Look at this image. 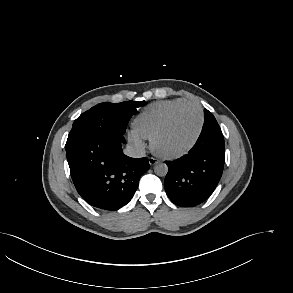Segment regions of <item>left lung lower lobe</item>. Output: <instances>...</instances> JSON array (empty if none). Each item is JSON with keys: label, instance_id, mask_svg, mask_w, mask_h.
I'll use <instances>...</instances> for the list:
<instances>
[{"label": "left lung lower lobe", "instance_id": "left-lung-lower-lobe-1", "mask_svg": "<svg viewBox=\"0 0 293 293\" xmlns=\"http://www.w3.org/2000/svg\"><path fill=\"white\" fill-rule=\"evenodd\" d=\"M224 137L218 124L202 129L185 156L166 161L164 186L170 200L182 207L204 202L215 190L224 168Z\"/></svg>", "mask_w": 293, "mask_h": 293}]
</instances>
